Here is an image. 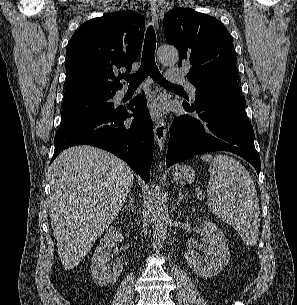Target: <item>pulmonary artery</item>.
I'll return each mask as SVG.
<instances>
[{
  "label": "pulmonary artery",
  "mask_w": 297,
  "mask_h": 305,
  "mask_svg": "<svg viewBox=\"0 0 297 305\" xmlns=\"http://www.w3.org/2000/svg\"><path fill=\"white\" fill-rule=\"evenodd\" d=\"M168 80L171 83H177V84H185L187 86V89L192 97H195L196 95V87L185 80L183 77L182 71L177 70H170L168 72Z\"/></svg>",
  "instance_id": "1"
}]
</instances>
